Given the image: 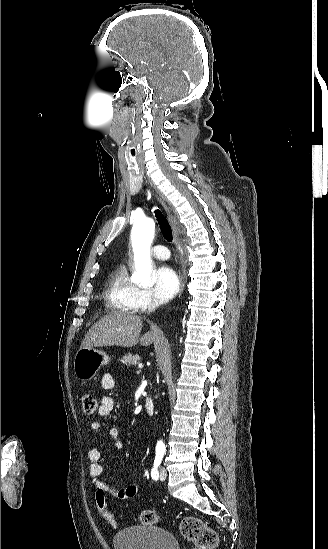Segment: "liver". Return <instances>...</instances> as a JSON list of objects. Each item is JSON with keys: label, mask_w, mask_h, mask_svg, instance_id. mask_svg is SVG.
<instances>
[{"label": "liver", "mask_w": 328, "mask_h": 549, "mask_svg": "<svg viewBox=\"0 0 328 549\" xmlns=\"http://www.w3.org/2000/svg\"><path fill=\"white\" fill-rule=\"evenodd\" d=\"M142 327L143 321L138 315L122 313V311L109 313L92 325L81 343V349L111 347V345L135 347L137 343H140L142 347H148L162 335L159 327H153L152 331H148L143 337H140Z\"/></svg>", "instance_id": "obj_1"}]
</instances>
